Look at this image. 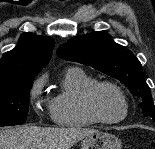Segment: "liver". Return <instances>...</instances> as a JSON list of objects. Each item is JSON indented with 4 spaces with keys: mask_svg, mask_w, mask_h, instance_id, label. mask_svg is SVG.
<instances>
[{
    "mask_svg": "<svg viewBox=\"0 0 155 149\" xmlns=\"http://www.w3.org/2000/svg\"><path fill=\"white\" fill-rule=\"evenodd\" d=\"M95 129L22 126L0 130V149H70Z\"/></svg>",
    "mask_w": 155,
    "mask_h": 149,
    "instance_id": "1",
    "label": "liver"
}]
</instances>
